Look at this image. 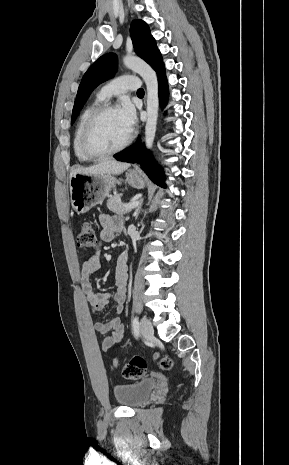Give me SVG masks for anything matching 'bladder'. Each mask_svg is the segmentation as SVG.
Returning <instances> with one entry per match:
<instances>
[{
  "label": "bladder",
  "instance_id": "1",
  "mask_svg": "<svg viewBox=\"0 0 289 465\" xmlns=\"http://www.w3.org/2000/svg\"><path fill=\"white\" fill-rule=\"evenodd\" d=\"M156 387L154 379H145L130 384H120L114 387V397L122 406L138 407L144 404Z\"/></svg>",
  "mask_w": 289,
  "mask_h": 465
}]
</instances>
